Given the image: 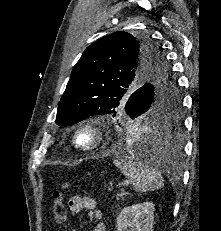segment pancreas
<instances>
[{
  "label": "pancreas",
  "instance_id": "cf45deb5",
  "mask_svg": "<svg viewBox=\"0 0 221 231\" xmlns=\"http://www.w3.org/2000/svg\"><path fill=\"white\" fill-rule=\"evenodd\" d=\"M123 196H124V193H118L116 195V198H117V200H119L120 198H123Z\"/></svg>",
  "mask_w": 221,
  "mask_h": 231
}]
</instances>
